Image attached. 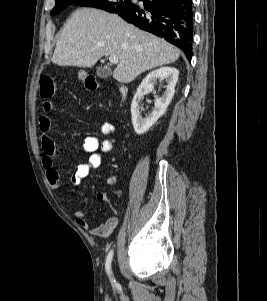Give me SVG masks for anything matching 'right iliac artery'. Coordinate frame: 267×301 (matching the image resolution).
<instances>
[{"label": "right iliac artery", "instance_id": "1", "mask_svg": "<svg viewBox=\"0 0 267 301\" xmlns=\"http://www.w3.org/2000/svg\"><path fill=\"white\" fill-rule=\"evenodd\" d=\"M112 258H113V250H110V252L108 253L107 258H106L105 269H106L107 275L109 276L110 281L113 283V282H115V280L113 279L112 271H111Z\"/></svg>", "mask_w": 267, "mask_h": 301}]
</instances>
